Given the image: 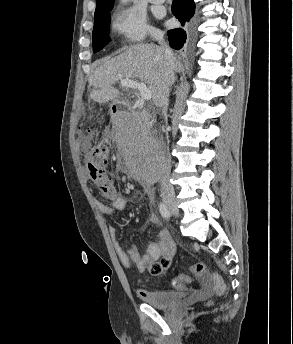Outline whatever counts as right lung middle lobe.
Returning a JSON list of instances; mask_svg holds the SVG:
<instances>
[{
    "mask_svg": "<svg viewBox=\"0 0 293 344\" xmlns=\"http://www.w3.org/2000/svg\"><path fill=\"white\" fill-rule=\"evenodd\" d=\"M113 4L101 9H97L94 15V29H93V51H100L110 41V10H112Z\"/></svg>",
    "mask_w": 293,
    "mask_h": 344,
    "instance_id": "right-lung-middle-lobe-1",
    "label": "right lung middle lobe"
}]
</instances>
